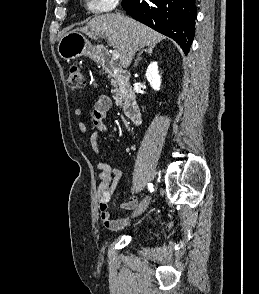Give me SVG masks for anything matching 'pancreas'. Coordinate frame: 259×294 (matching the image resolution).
<instances>
[{
  "instance_id": "obj_1",
  "label": "pancreas",
  "mask_w": 259,
  "mask_h": 294,
  "mask_svg": "<svg viewBox=\"0 0 259 294\" xmlns=\"http://www.w3.org/2000/svg\"><path fill=\"white\" fill-rule=\"evenodd\" d=\"M113 92L115 93L114 99L116 100V103L120 104L121 103L120 99H121L122 93H121V89H118V84L115 85V89L113 90Z\"/></svg>"
}]
</instances>
